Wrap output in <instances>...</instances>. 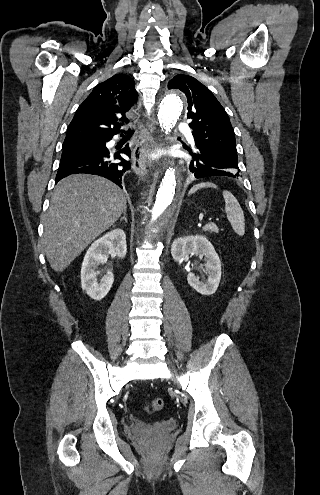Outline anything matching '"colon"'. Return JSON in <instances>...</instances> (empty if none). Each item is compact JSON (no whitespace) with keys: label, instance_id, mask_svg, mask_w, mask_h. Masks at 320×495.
I'll return each mask as SVG.
<instances>
[{"label":"colon","instance_id":"1","mask_svg":"<svg viewBox=\"0 0 320 495\" xmlns=\"http://www.w3.org/2000/svg\"><path fill=\"white\" fill-rule=\"evenodd\" d=\"M163 408V400L160 398L153 399L146 404L148 414L155 415Z\"/></svg>","mask_w":320,"mask_h":495}]
</instances>
